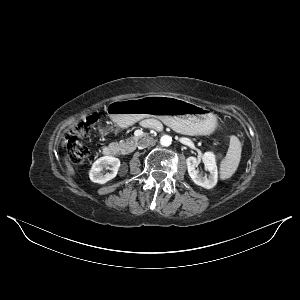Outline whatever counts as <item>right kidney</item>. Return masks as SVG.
Masks as SVG:
<instances>
[{"label": "right kidney", "mask_w": 300, "mask_h": 300, "mask_svg": "<svg viewBox=\"0 0 300 300\" xmlns=\"http://www.w3.org/2000/svg\"><path fill=\"white\" fill-rule=\"evenodd\" d=\"M119 167L120 160L118 158L113 156L100 157L93 163L89 171L90 180L94 183L105 184L117 175ZM103 169L110 170V172L104 174Z\"/></svg>", "instance_id": "obj_1"}]
</instances>
